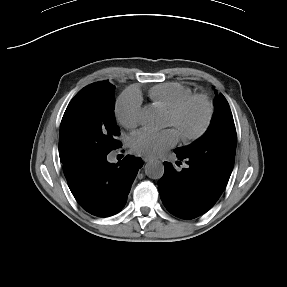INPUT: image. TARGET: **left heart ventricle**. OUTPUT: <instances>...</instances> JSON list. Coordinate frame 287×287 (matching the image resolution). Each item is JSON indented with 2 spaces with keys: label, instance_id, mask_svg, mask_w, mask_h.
Returning <instances> with one entry per match:
<instances>
[{
  "label": "left heart ventricle",
  "instance_id": "obj_1",
  "mask_svg": "<svg viewBox=\"0 0 287 287\" xmlns=\"http://www.w3.org/2000/svg\"><path fill=\"white\" fill-rule=\"evenodd\" d=\"M204 120V108L199 103L190 105L180 116L172 118L167 115L165 126L173 127L178 134L192 133L200 128Z\"/></svg>",
  "mask_w": 287,
  "mask_h": 287
}]
</instances>
